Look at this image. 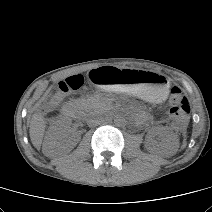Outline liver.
I'll use <instances>...</instances> for the list:
<instances>
[{
  "mask_svg": "<svg viewBox=\"0 0 212 212\" xmlns=\"http://www.w3.org/2000/svg\"><path fill=\"white\" fill-rule=\"evenodd\" d=\"M46 121L41 112L34 113L30 121L29 134L31 142L38 150L41 147L43 136L45 133Z\"/></svg>",
  "mask_w": 212,
  "mask_h": 212,
  "instance_id": "1",
  "label": "liver"
}]
</instances>
